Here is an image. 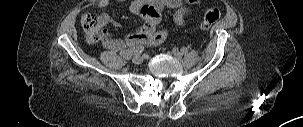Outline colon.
<instances>
[{"label": "colon", "instance_id": "1", "mask_svg": "<svg viewBox=\"0 0 303 127\" xmlns=\"http://www.w3.org/2000/svg\"><path fill=\"white\" fill-rule=\"evenodd\" d=\"M220 10L218 8H209L203 15L201 27L209 28L220 18ZM82 27L84 29L86 39L89 43H96L102 37V28L98 18L91 13H87L82 17Z\"/></svg>", "mask_w": 303, "mask_h": 127}]
</instances>
